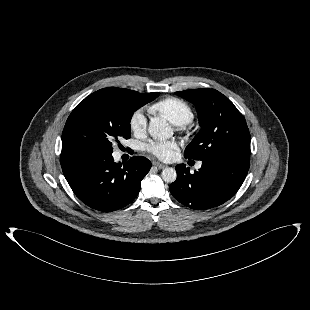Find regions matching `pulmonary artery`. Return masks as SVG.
Listing matches in <instances>:
<instances>
[{
    "label": "pulmonary artery",
    "instance_id": "obj_1",
    "mask_svg": "<svg viewBox=\"0 0 310 310\" xmlns=\"http://www.w3.org/2000/svg\"><path fill=\"white\" fill-rule=\"evenodd\" d=\"M196 167H197V168H200V167H201V163H198Z\"/></svg>",
    "mask_w": 310,
    "mask_h": 310
}]
</instances>
